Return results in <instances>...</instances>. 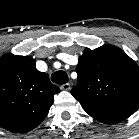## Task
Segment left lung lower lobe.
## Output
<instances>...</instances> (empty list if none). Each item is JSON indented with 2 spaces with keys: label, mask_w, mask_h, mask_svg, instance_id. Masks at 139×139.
Returning <instances> with one entry per match:
<instances>
[{
  "label": "left lung lower lobe",
  "mask_w": 139,
  "mask_h": 139,
  "mask_svg": "<svg viewBox=\"0 0 139 139\" xmlns=\"http://www.w3.org/2000/svg\"><path fill=\"white\" fill-rule=\"evenodd\" d=\"M129 116L130 115L128 114H106V115H97L93 117L105 124H114L128 118Z\"/></svg>",
  "instance_id": "obj_1"
}]
</instances>
